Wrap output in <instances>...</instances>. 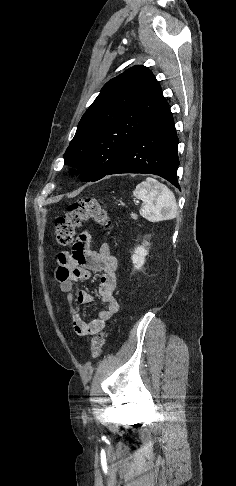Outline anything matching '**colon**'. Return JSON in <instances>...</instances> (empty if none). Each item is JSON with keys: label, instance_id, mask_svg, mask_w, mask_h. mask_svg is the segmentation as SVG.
<instances>
[{"label": "colon", "instance_id": "1", "mask_svg": "<svg viewBox=\"0 0 236 486\" xmlns=\"http://www.w3.org/2000/svg\"><path fill=\"white\" fill-rule=\"evenodd\" d=\"M95 221L101 226L108 227L109 214L105 206L95 198L81 199L71 203L67 213L56 221L55 240L59 246L70 245L75 237L76 230L87 221ZM106 340L104 332L96 333L91 341L93 357L100 356Z\"/></svg>", "mask_w": 236, "mask_h": 486}]
</instances>
